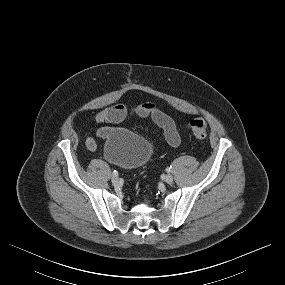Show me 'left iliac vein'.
Wrapping results in <instances>:
<instances>
[{
  "mask_svg": "<svg viewBox=\"0 0 285 285\" xmlns=\"http://www.w3.org/2000/svg\"><path fill=\"white\" fill-rule=\"evenodd\" d=\"M165 182L168 183V184H171L173 182V176L170 175V174H167L165 176Z\"/></svg>",
  "mask_w": 285,
  "mask_h": 285,
  "instance_id": "1",
  "label": "left iliac vein"
}]
</instances>
